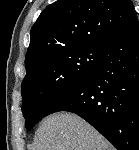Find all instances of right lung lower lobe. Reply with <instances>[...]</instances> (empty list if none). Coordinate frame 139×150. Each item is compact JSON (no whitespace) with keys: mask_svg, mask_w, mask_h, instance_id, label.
Segmentation results:
<instances>
[{"mask_svg":"<svg viewBox=\"0 0 139 150\" xmlns=\"http://www.w3.org/2000/svg\"><path fill=\"white\" fill-rule=\"evenodd\" d=\"M78 114L118 150H139V21L115 36L88 73L44 117Z\"/></svg>","mask_w":139,"mask_h":150,"instance_id":"1","label":"right lung lower lobe"}]
</instances>
